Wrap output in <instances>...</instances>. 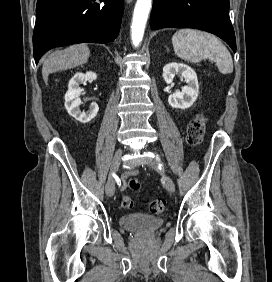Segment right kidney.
<instances>
[{
    "mask_svg": "<svg viewBox=\"0 0 272 282\" xmlns=\"http://www.w3.org/2000/svg\"><path fill=\"white\" fill-rule=\"evenodd\" d=\"M97 74L94 72L76 73L69 81L68 90L65 94V108L69 115L81 123H88L96 117L99 107L96 103H91L87 113L81 112L79 106L81 101L79 96L82 92L81 84H86L89 80H96Z\"/></svg>",
    "mask_w": 272,
    "mask_h": 282,
    "instance_id": "right-kidney-1",
    "label": "right kidney"
}]
</instances>
